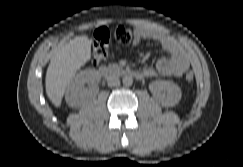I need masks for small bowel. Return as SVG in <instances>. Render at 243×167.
Masks as SVG:
<instances>
[{"label":"small bowel","mask_w":243,"mask_h":167,"mask_svg":"<svg viewBox=\"0 0 243 167\" xmlns=\"http://www.w3.org/2000/svg\"><path fill=\"white\" fill-rule=\"evenodd\" d=\"M144 40L158 43L169 56L160 58L154 67H147L143 73L146 77L156 75L164 77H180L190 66L185 50L166 33L145 26H138L134 31V45H139Z\"/></svg>","instance_id":"1"}]
</instances>
